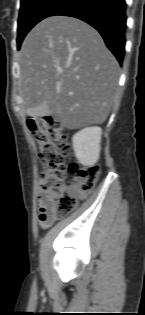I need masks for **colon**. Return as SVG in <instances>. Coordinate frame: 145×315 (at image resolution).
I'll return each mask as SVG.
<instances>
[{"label":"colon","mask_w":145,"mask_h":315,"mask_svg":"<svg viewBox=\"0 0 145 315\" xmlns=\"http://www.w3.org/2000/svg\"><path fill=\"white\" fill-rule=\"evenodd\" d=\"M27 125L39 145V158L43 166L39 177L40 191L58 193L56 214H67L75 209L79 198L94 188L100 167L98 165L80 167L72 163L68 169L74 178L71 184L66 186L65 158L70 151L67 135L63 133L59 123L49 116L31 117L27 120Z\"/></svg>","instance_id":"1"}]
</instances>
